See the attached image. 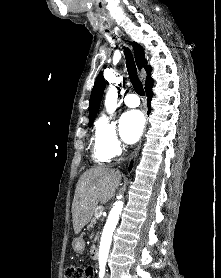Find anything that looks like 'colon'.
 I'll return each instance as SVG.
<instances>
[{
  "label": "colon",
  "instance_id": "5ec220e1",
  "mask_svg": "<svg viewBox=\"0 0 221 278\" xmlns=\"http://www.w3.org/2000/svg\"><path fill=\"white\" fill-rule=\"evenodd\" d=\"M87 268L78 264L70 265L65 271V278H85Z\"/></svg>",
  "mask_w": 221,
  "mask_h": 278
}]
</instances>
